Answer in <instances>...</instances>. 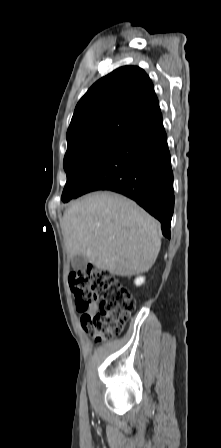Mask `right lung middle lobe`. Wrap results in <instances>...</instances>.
I'll return each mask as SVG.
<instances>
[{
  "label": "right lung middle lobe",
  "instance_id": "obj_1",
  "mask_svg": "<svg viewBox=\"0 0 221 448\" xmlns=\"http://www.w3.org/2000/svg\"><path fill=\"white\" fill-rule=\"evenodd\" d=\"M117 141H98L68 150L63 166L67 182L62 193V201L77 198L84 184L97 169Z\"/></svg>",
  "mask_w": 221,
  "mask_h": 448
}]
</instances>
